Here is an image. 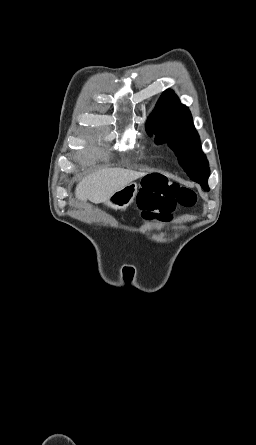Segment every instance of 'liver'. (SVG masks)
<instances>
[{"label": "liver", "mask_w": 256, "mask_h": 445, "mask_svg": "<svg viewBox=\"0 0 256 445\" xmlns=\"http://www.w3.org/2000/svg\"><path fill=\"white\" fill-rule=\"evenodd\" d=\"M145 175V172L121 168L102 169L79 182L75 194L83 202L87 200L93 203L104 202L116 191Z\"/></svg>", "instance_id": "liver-1"}]
</instances>
